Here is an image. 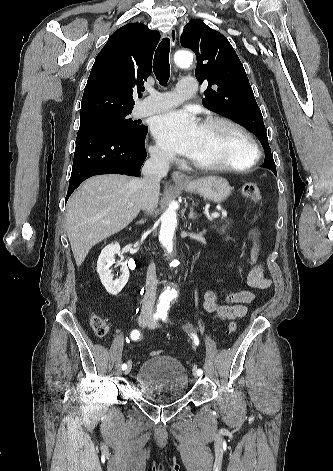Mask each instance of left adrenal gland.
Listing matches in <instances>:
<instances>
[{
  "instance_id": "obj_1",
  "label": "left adrenal gland",
  "mask_w": 333,
  "mask_h": 471,
  "mask_svg": "<svg viewBox=\"0 0 333 471\" xmlns=\"http://www.w3.org/2000/svg\"><path fill=\"white\" fill-rule=\"evenodd\" d=\"M199 217L197 213L194 212V203H192V206L190 208V213L188 215V218L191 220H196Z\"/></svg>"
}]
</instances>
